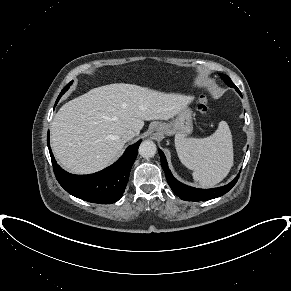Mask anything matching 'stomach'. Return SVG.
<instances>
[{
	"label": "stomach",
	"instance_id": "obj_1",
	"mask_svg": "<svg viewBox=\"0 0 291 291\" xmlns=\"http://www.w3.org/2000/svg\"><path fill=\"white\" fill-rule=\"evenodd\" d=\"M159 133L166 135L180 134L186 136L192 131V111L185 107L169 123H160Z\"/></svg>",
	"mask_w": 291,
	"mask_h": 291
}]
</instances>
